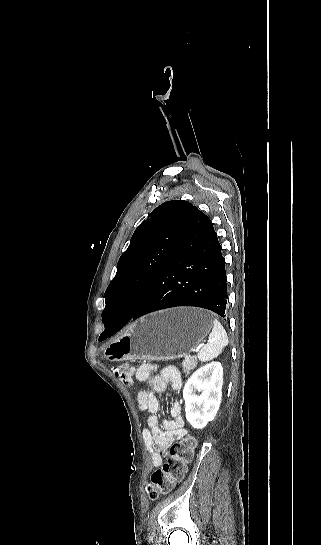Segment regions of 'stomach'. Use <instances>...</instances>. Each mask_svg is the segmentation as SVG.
Returning a JSON list of instances; mask_svg holds the SVG:
<instances>
[{
	"instance_id": "0dacf381",
	"label": "stomach",
	"mask_w": 321,
	"mask_h": 545,
	"mask_svg": "<svg viewBox=\"0 0 321 545\" xmlns=\"http://www.w3.org/2000/svg\"><path fill=\"white\" fill-rule=\"evenodd\" d=\"M212 329L209 311L196 307H176L157 311L134 321L108 347L111 361L135 359H179L195 351Z\"/></svg>"
}]
</instances>
